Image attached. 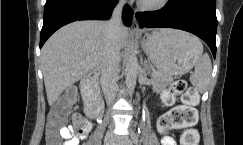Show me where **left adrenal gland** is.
<instances>
[{"instance_id":"a2214340","label":"left adrenal gland","mask_w":243,"mask_h":145,"mask_svg":"<svg viewBox=\"0 0 243 145\" xmlns=\"http://www.w3.org/2000/svg\"><path fill=\"white\" fill-rule=\"evenodd\" d=\"M145 72L150 73V67L147 65V63L144 65Z\"/></svg>"}]
</instances>
